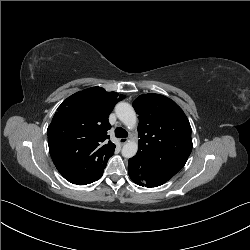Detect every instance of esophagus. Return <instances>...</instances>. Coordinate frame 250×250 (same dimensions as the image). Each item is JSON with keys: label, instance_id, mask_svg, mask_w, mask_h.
I'll use <instances>...</instances> for the list:
<instances>
[{"label": "esophagus", "instance_id": "1", "mask_svg": "<svg viewBox=\"0 0 250 250\" xmlns=\"http://www.w3.org/2000/svg\"><path fill=\"white\" fill-rule=\"evenodd\" d=\"M127 141H128L127 138H120V139H119V143H120L121 145L127 143Z\"/></svg>", "mask_w": 250, "mask_h": 250}]
</instances>
